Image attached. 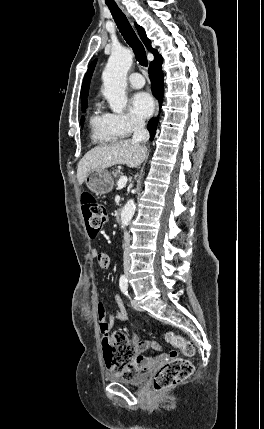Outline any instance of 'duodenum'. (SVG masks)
Segmentation results:
<instances>
[{
    "label": "duodenum",
    "mask_w": 264,
    "mask_h": 429,
    "mask_svg": "<svg viewBox=\"0 0 264 429\" xmlns=\"http://www.w3.org/2000/svg\"><path fill=\"white\" fill-rule=\"evenodd\" d=\"M116 218H117V220H121V212H117Z\"/></svg>",
    "instance_id": "obj_1"
}]
</instances>
